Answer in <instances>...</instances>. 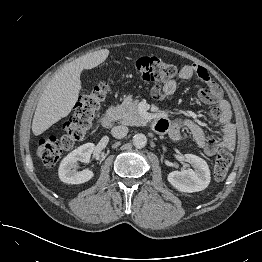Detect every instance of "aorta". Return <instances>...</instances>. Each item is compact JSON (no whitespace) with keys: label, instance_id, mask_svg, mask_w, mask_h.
<instances>
[{"label":"aorta","instance_id":"obj_1","mask_svg":"<svg viewBox=\"0 0 262 262\" xmlns=\"http://www.w3.org/2000/svg\"><path fill=\"white\" fill-rule=\"evenodd\" d=\"M147 144V138L144 134L142 133H138V134H135L133 136V145L136 147V148H143L145 147Z\"/></svg>","mask_w":262,"mask_h":262}]
</instances>
